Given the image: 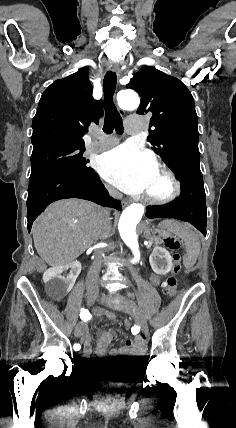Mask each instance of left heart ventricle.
Instances as JSON below:
<instances>
[{
	"label": "left heart ventricle",
	"mask_w": 236,
	"mask_h": 428,
	"mask_svg": "<svg viewBox=\"0 0 236 428\" xmlns=\"http://www.w3.org/2000/svg\"><path fill=\"white\" fill-rule=\"evenodd\" d=\"M170 188V183L164 174L161 171H154L144 193L153 196H164L170 191Z\"/></svg>",
	"instance_id": "obj_1"
}]
</instances>
